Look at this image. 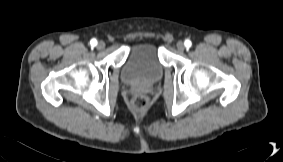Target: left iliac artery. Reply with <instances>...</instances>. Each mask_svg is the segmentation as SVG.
<instances>
[{
	"mask_svg": "<svg viewBox=\"0 0 283 162\" xmlns=\"http://www.w3.org/2000/svg\"><path fill=\"white\" fill-rule=\"evenodd\" d=\"M185 46L187 47V48H189L191 45H192V43H191V41L190 40H185Z\"/></svg>",
	"mask_w": 283,
	"mask_h": 162,
	"instance_id": "left-iliac-artery-1",
	"label": "left iliac artery"
}]
</instances>
